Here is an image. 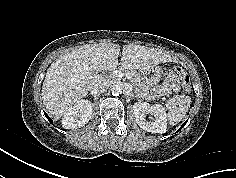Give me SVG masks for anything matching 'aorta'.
Wrapping results in <instances>:
<instances>
[{"label":"aorta","instance_id":"762f6f07","mask_svg":"<svg viewBox=\"0 0 236 178\" xmlns=\"http://www.w3.org/2000/svg\"><path fill=\"white\" fill-rule=\"evenodd\" d=\"M111 92L113 95L118 96L119 94L123 92V88L119 84H114L111 87Z\"/></svg>","mask_w":236,"mask_h":178}]
</instances>
